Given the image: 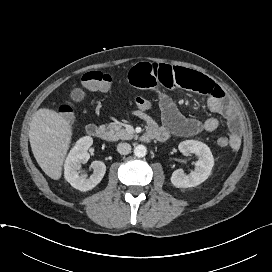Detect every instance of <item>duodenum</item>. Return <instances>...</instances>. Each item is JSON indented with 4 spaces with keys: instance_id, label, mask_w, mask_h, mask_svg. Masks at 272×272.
Here are the masks:
<instances>
[{
    "instance_id": "duodenum-1",
    "label": "duodenum",
    "mask_w": 272,
    "mask_h": 272,
    "mask_svg": "<svg viewBox=\"0 0 272 272\" xmlns=\"http://www.w3.org/2000/svg\"><path fill=\"white\" fill-rule=\"evenodd\" d=\"M86 133L94 138L106 140L108 138L107 131L96 124H88L86 127ZM156 138V134L153 131H146L142 136L141 140L144 142H150Z\"/></svg>"
}]
</instances>
